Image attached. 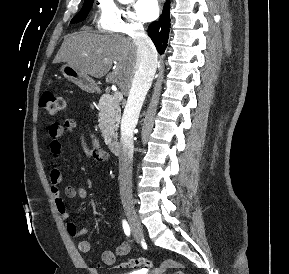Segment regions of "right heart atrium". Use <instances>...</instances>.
<instances>
[{
	"mask_svg": "<svg viewBox=\"0 0 289 274\" xmlns=\"http://www.w3.org/2000/svg\"><path fill=\"white\" fill-rule=\"evenodd\" d=\"M100 13L98 27L107 32L133 36L143 30V24L137 15L126 6L114 0H99Z\"/></svg>",
	"mask_w": 289,
	"mask_h": 274,
	"instance_id": "right-heart-atrium-1",
	"label": "right heart atrium"
}]
</instances>
